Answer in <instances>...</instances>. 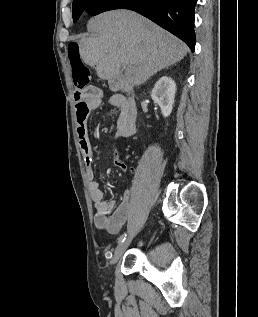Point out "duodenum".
<instances>
[{
    "label": "duodenum",
    "mask_w": 258,
    "mask_h": 317,
    "mask_svg": "<svg viewBox=\"0 0 258 317\" xmlns=\"http://www.w3.org/2000/svg\"><path fill=\"white\" fill-rule=\"evenodd\" d=\"M86 98V92L82 89H77L74 93L75 103L79 104L83 102Z\"/></svg>",
    "instance_id": "obj_1"
}]
</instances>
